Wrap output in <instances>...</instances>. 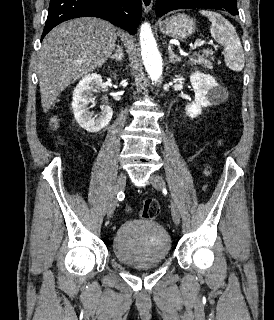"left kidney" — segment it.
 Listing matches in <instances>:
<instances>
[{
	"mask_svg": "<svg viewBox=\"0 0 274 320\" xmlns=\"http://www.w3.org/2000/svg\"><path fill=\"white\" fill-rule=\"evenodd\" d=\"M190 84L195 92V100L191 104H187L185 108V114L189 118H197L202 114V108L216 106V104L223 102L225 98L224 90L209 74L194 72L190 76Z\"/></svg>",
	"mask_w": 274,
	"mask_h": 320,
	"instance_id": "1",
	"label": "left kidney"
}]
</instances>
